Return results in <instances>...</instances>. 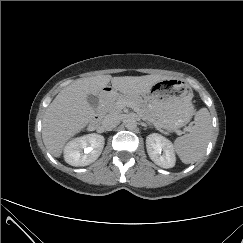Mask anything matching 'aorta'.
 <instances>
[{
	"instance_id": "1",
	"label": "aorta",
	"mask_w": 243,
	"mask_h": 243,
	"mask_svg": "<svg viewBox=\"0 0 243 243\" xmlns=\"http://www.w3.org/2000/svg\"><path fill=\"white\" fill-rule=\"evenodd\" d=\"M125 127L128 129V130H133L137 127V121L133 118H128L126 119L125 121Z\"/></svg>"
}]
</instances>
